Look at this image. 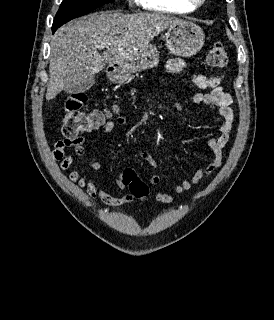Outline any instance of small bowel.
Segmentation results:
<instances>
[{
  "label": "small bowel",
  "mask_w": 274,
  "mask_h": 320,
  "mask_svg": "<svg viewBox=\"0 0 274 320\" xmlns=\"http://www.w3.org/2000/svg\"><path fill=\"white\" fill-rule=\"evenodd\" d=\"M184 68V61L180 58H172L167 62V71L169 73H180ZM224 76L214 75L207 77L202 74H194L192 76L193 84L203 90H208L205 93H196L193 96L195 104H212L219 108V112L223 120L218 124V137H212L208 140V145L212 151L213 157L210 162L204 166L199 167L192 175L191 179H183L175 185L170 192H159L156 194L155 199L159 203H171L176 196L189 191L193 186L201 182L206 176L219 169L223 163L224 148L229 142L234 123V113L232 110V97L225 92L221 83ZM94 125L91 130L103 131L108 134L113 132L117 127H123L127 124V119L123 116H116L114 119H94ZM89 130V131H91ZM86 138L83 136L74 139L59 140L54 145L52 158L60 162V169L68 170L73 163V155L68 154L66 149L69 147L74 148V154L78 157L85 155ZM139 156L144 159L152 168L157 169L158 164L155 159L146 151L140 150ZM88 166L92 171H99L102 168V163L93 155H89ZM69 180L76 183L80 188L85 189L88 198L93 201H101L103 204L110 207H117L125 203L133 201L131 195L116 196L108 193L104 189L97 186L95 180L86 175H82L78 170H73L69 174ZM161 182L159 175H152L149 178V183L153 186H158ZM118 189H124L126 186L121 180L116 181Z\"/></svg>",
  "instance_id": "1"
}]
</instances>
